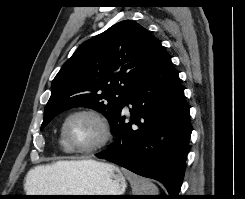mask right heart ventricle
Returning <instances> with one entry per match:
<instances>
[{
	"instance_id": "obj_1",
	"label": "right heart ventricle",
	"mask_w": 245,
	"mask_h": 199,
	"mask_svg": "<svg viewBox=\"0 0 245 199\" xmlns=\"http://www.w3.org/2000/svg\"><path fill=\"white\" fill-rule=\"evenodd\" d=\"M58 143L64 152L69 153V154L72 153L71 150L69 149V147L67 146V144L65 143V141L62 137V134H60V136H59Z\"/></svg>"
}]
</instances>
